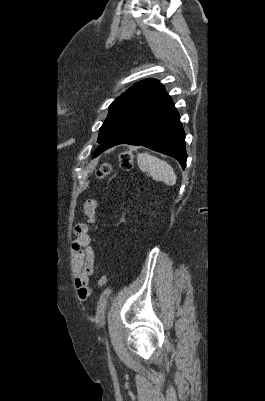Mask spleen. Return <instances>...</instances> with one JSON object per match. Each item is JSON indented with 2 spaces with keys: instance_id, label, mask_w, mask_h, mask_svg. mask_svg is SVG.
<instances>
[{
  "instance_id": "1",
  "label": "spleen",
  "mask_w": 265,
  "mask_h": 401,
  "mask_svg": "<svg viewBox=\"0 0 265 401\" xmlns=\"http://www.w3.org/2000/svg\"><path fill=\"white\" fill-rule=\"evenodd\" d=\"M137 162L140 170L151 174L153 180H163L165 184H175L177 176L170 164L165 160H160L157 156H152L148 152H140L137 156Z\"/></svg>"
}]
</instances>
